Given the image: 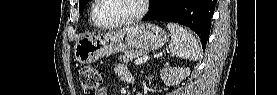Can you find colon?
Instances as JSON below:
<instances>
[{"label": "colon", "mask_w": 277, "mask_h": 95, "mask_svg": "<svg viewBox=\"0 0 277 95\" xmlns=\"http://www.w3.org/2000/svg\"><path fill=\"white\" fill-rule=\"evenodd\" d=\"M79 79L84 95H96L99 93L100 75L96 69L90 66L81 68Z\"/></svg>", "instance_id": "colon-1"}]
</instances>
